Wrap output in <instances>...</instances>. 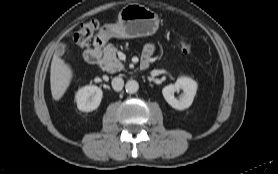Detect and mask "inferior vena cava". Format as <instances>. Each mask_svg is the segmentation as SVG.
Here are the masks:
<instances>
[{
  "label": "inferior vena cava",
  "mask_w": 278,
  "mask_h": 174,
  "mask_svg": "<svg viewBox=\"0 0 278 174\" xmlns=\"http://www.w3.org/2000/svg\"><path fill=\"white\" fill-rule=\"evenodd\" d=\"M124 86V80L121 77H114L112 79V87L115 91H121Z\"/></svg>",
  "instance_id": "obj_1"
}]
</instances>
